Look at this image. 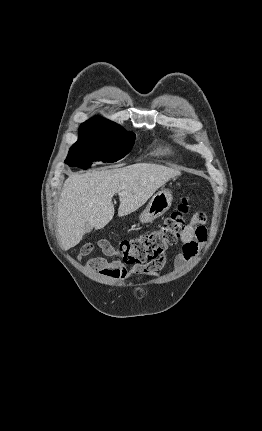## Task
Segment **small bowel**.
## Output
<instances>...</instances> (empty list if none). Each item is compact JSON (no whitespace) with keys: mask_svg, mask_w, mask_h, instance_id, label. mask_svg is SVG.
Returning a JSON list of instances; mask_svg holds the SVG:
<instances>
[{"mask_svg":"<svg viewBox=\"0 0 262 431\" xmlns=\"http://www.w3.org/2000/svg\"><path fill=\"white\" fill-rule=\"evenodd\" d=\"M207 239V229L202 225L197 215L193 216L180 236V253L174 258V265L182 267L197 255L199 246ZM167 258L162 256L146 264H136L130 267L117 262H110L104 258H92L90 265L101 274L115 281H124L135 275L152 276L156 271L163 268Z\"/></svg>","mask_w":262,"mask_h":431,"instance_id":"1","label":"small bowel"}]
</instances>
